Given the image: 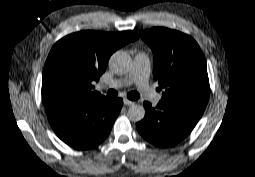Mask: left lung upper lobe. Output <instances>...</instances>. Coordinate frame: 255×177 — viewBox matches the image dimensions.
I'll use <instances>...</instances> for the list:
<instances>
[{"mask_svg": "<svg viewBox=\"0 0 255 177\" xmlns=\"http://www.w3.org/2000/svg\"><path fill=\"white\" fill-rule=\"evenodd\" d=\"M154 54L153 77L166 87L162 100L204 109L210 87L203 53L196 41L166 28L141 31Z\"/></svg>", "mask_w": 255, "mask_h": 177, "instance_id": "5c2ea615", "label": "left lung upper lobe"}]
</instances>
